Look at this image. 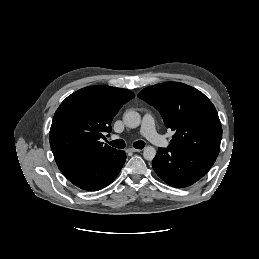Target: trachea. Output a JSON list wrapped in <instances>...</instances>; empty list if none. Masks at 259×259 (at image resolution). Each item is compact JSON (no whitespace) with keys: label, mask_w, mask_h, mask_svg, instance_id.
<instances>
[{"label":"trachea","mask_w":259,"mask_h":259,"mask_svg":"<svg viewBox=\"0 0 259 259\" xmlns=\"http://www.w3.org/2000/svg\"><path fill=\"white\" fill-rule=\"evenodd\" d=\"M108 144H110L111 146L118 148V149H123L126 146L124 140H114V141L108 142ZM133 146L136 149H143L145 146V142L139 140V141H136Z\"/></svg>","instance_id":"obj_1"}]
</instances>
